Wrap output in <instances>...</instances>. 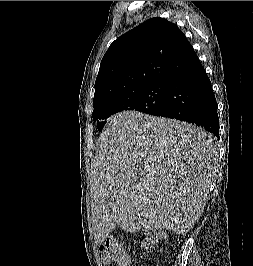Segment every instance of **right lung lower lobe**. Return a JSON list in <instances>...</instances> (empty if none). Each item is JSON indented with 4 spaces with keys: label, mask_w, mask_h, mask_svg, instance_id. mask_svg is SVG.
<instances>
[{
    "label": "right lung lower lobe",
    "mask_w": 253,
    "mask_h": 266,
    "mask_svg": "<svg viewBox=\"0 0 253 266\" xmlns=\"http://www.w3.org/2000/svg\"><path fill=\"white\" fill-rule=\"evenodd\" d=\"M155 116L196 124L219 138L216 99L199 59L169 80L163 108Z\"/></svg>",
    "instance_id": "1"
}]
</instances>
